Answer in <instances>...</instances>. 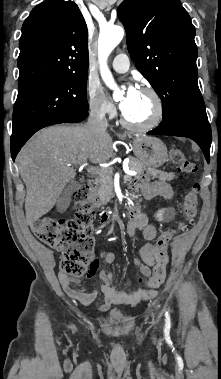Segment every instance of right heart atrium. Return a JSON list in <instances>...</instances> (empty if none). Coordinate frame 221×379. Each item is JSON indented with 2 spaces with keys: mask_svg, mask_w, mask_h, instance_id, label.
I'll use <instances>...</instances> for the list:
<instances>
[{
  "mask_svg": "<svg viewBox=\"0 0 221 379\" xmlns=\"http://www.w3.org/2000/svg\"><path fill=\"white\" fill-rule=\"evenodd\" d=\"M86 91L88 108L92 114L100 118H112L114 116L115 108L99 86L89 83Z\"/></svg>",
  "mask_w": 221,
  "mask_h": 379,
  "instance_id": "1",
  "label": "right heart atrium"
}]
</instances>
